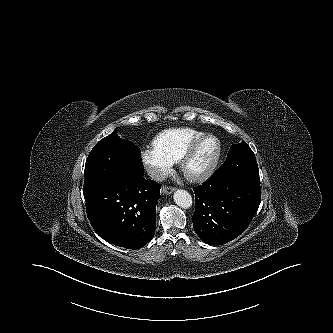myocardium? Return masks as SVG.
<instances>
[{"label": "myocardium", "instance_id": "1", "mask_svg": "<svg viewBox=\"0 0 333 333\" xmlns=\"http://www.w3.org/2000/svg\"><path fill=\"white\" fill-rule=\"evenodd\" d=\"M208 140H214L216 143L215 151L210 160L199 170L193 171L190 169V164L196 156L200 147ZM222 152L220 140L212 134H204L202 137L193 142L185 151L180 160V168L183 175L192 182L203 181L208 178L216 169Z\"/></svg>", "mask_w": 333, "mask_h": 333}]
</instances>
